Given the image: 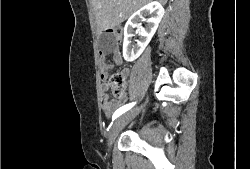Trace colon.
Wrapping results in <instances>:
<instances>
[{
  "label": "colon",
  "mask_w": 250,
  "mask_h": 169,
  "mask_svg": "<svg viewBox=\"0 0 250 169\" xmlns=\"http://www.w3.org/2000/svg\"><path fill=\"white\" fill-rule=\"evenodd\" d=\"M108 40L105 42L106 46H109L110 44L121 46L124 39V33L123 29H108ZM111 87H112V93L116 98H121L125 94V82L122 74H114L110 78Z\"/></svg>",
  "instance_id": "obj_1"
}]
</instances>
